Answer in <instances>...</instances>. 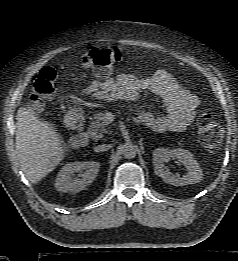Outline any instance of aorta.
Returning a JSON list of instances; mask_svg holds the SVG:
<instances>
[{
    "mask_svg": "<svg viewBox=\"0 0 238 261\" xmlns=\"http://www.w3.org/2000/svg\"><path fill=\"white\" fill-rule=\"evenodd\" d=\"M137 146L132 142H128L123 145L122 154L126 159H132L137 154Z\"/></svg>",
    "mask_w": 238,
    "mask_h": 261,
    "instance_id": "762f6f07",
    "label": "aorta"
}]
</instances>
